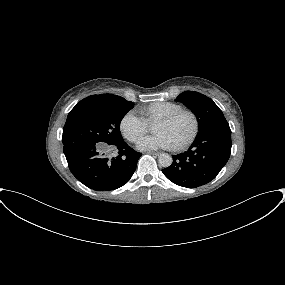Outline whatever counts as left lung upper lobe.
I'll return each instance as SVG.
<instances>
[{"label": "left lung upper lobe", "instance_id": "obj_1", "mask_svg": "<svg viewBox=\"0 0 285 285\" xmlns=\"http://www.w3.org/2000/svg\"><path fill=\"white\" fill-rule=\"evenodd\" d=\"M176 100L183 103L196 115L199 132L211 128H229L222 111L209 97L199 92L185 91Z\"/></svg>", "mask_w": 285, "mask_h": 285}]
</instances>
